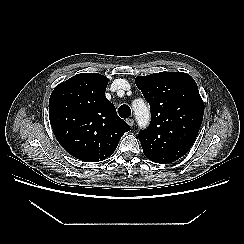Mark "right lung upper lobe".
I'll return each mask as SVG.
<instances>
[{"label":"right lung upper lobe","mask_w":244,"mask_h":244,"mask_svg":"<svg viewBox=\"0 0 244 244\" xmlns=\"http://www.w3.org/2000/svg\"><path fill=\"white\" fill-rule=\"evenodd\" d=\"M108 78L81 73L58 84L49 99V119L60 145L73 157L98 162L110 157L130 126L106 98Z\"/></svg>","instance_id":"right-lung-upper-lobe-1"}]
</instances>
